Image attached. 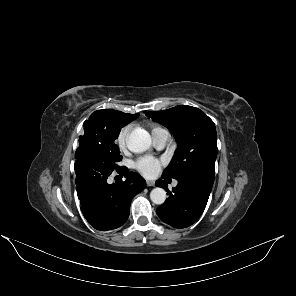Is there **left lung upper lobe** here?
Wrapping results in <instances>:
<instances>
[{"instance_id":"obj_1","label":"left lung upper lobe","mask_w":296,"mask_h":296,"mask_svg":"<svg viewBox=\"0 0 296 296\" xmlns=\"http://www.w3.org/2000/svg\"><path fill=\"white\" fill-rule=\"evenodd\" d=\"M146 115L167 127L175 136L178 148L164 178L208 172L214 174L217 134L213 121L198 108L181 105Z\"/></svg>"}]
</instances>
